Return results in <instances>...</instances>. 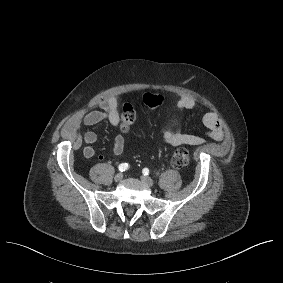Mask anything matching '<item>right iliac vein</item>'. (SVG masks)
<instances>
[{
	"instance_id": "right-iliac-vein-1",
	"label": "right iliac vein",
	"mask_w": 283,
	"mask_h": 283,
	"mask_svg": "<svg viewBox=\"0 0 283 283\" xmlns=\"http://www.w3.org/2000/svg\"><path fill=\"white\" fill-rule=\"evenodd\" d=\"M123 179V174L122 173H118V174H116L115 176H114V180L116 181V182H119V181H121Z\"/></svg>"
}]
</instances>
